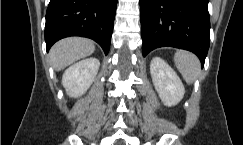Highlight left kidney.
<instances>
[{"label": "left kidney", "mask_w": 243, "mask_h": 145, "mask_svg": "<svg viewBox=\"0 0 243 145\" xmlns=\"http://www.w3.org/2000/svg\"><path fill=\"white\" fill-rule=\"evenodd\" d=\"M150 73L154 87L164 105H177L184 96V86L176 72L160 57L150 63Z\"/></svg>", "instance_id": "obj_1"}]
</instances>
